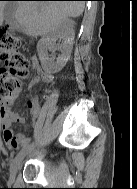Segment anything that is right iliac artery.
Returning a JSON list of instances; mask_svg holds the SVG:
<instances>
[{"instance_id":"obj_1","label":"right iliac artery","mask_w":137,"mask_h":189,"mask_svg":"<svg viewBox=\"0 0 137 189\" xmlns=\"http://www.w3.org/2000/svg\"><path fill=\"white\" fill-rule=\"evenodd\" d=\"M28 143H29V140H28V142H26V143L22 146V149L27 148V147H28Z\"/></svg>"}]
</instances>
